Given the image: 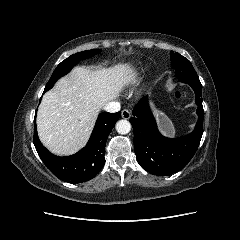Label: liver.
Returning <instances> with one entry per match:
<instances>
[{
	"instance_id": "6515ba94",
	"label": "liver",
	"mask_w": 240,
	"mask_h": 240,
	"mask_svg": "<svg viewBox=\"0 0 240 240\" xmlns=\"http://www.w3.org/2000/svg\"><path fill=\"white\" fill-rule=\"evenodd\" d=\"M129 64L90 70L75 67L45 93L37 113L43 145L57 155H70L87 143L100 109L134 84Z\"/></svg>"
}]
</instances>
